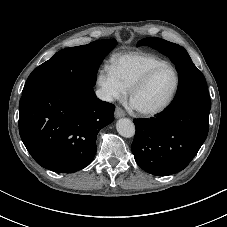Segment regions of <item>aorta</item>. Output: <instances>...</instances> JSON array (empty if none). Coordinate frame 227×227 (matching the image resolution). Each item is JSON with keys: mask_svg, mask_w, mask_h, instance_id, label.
Returning a JSON list of instances; mask_svg holds the SVG:
<instances>
[{"mask_svg": "<svg viewBox=\"0 0 227 227\" xmlns=\"http://www.w3.org/2000/svg\"><path fill=\"white\" fill-rule=\"evenodd\" d=\"M117 132L126 138H131L135 135V125L128 118H121L116 123Z\"/></svg>", "mask_w": 227, "mask_h": 227, "instance_id": "aorta-1", "label": "aorta"}]
</instances>
